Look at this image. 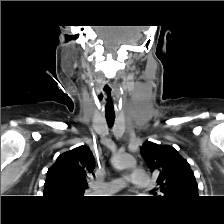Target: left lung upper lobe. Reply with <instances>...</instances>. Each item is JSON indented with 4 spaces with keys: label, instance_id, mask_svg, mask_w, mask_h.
<instances>
[{
    "label": "left lung upper lobe",
    "instance_id": "left-lung-upper-lobe-1",
    "mask_svg": "<svg viewBox=\"0 0 224 224\" xmlns=\"http://www.w3.org/2000/svg\"><path fill=\"white\" fill-rule=\"evenodd\" d=\"M140 153L152 171L158 172L157 183L165 197H198V186L188 162L171 146L147 141Z\"/></svg>",
    "mask_w": 224,
    "mask_h": 224
}]
</instances>
